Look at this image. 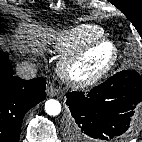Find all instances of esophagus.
<instances>
[{"instance_id":"obj_1","label":"esophagus","mask_w":142,"mask_h":142,"mask_svg":"<svg viewBox=\"0 0 142 142\" xmlns=\"http://www.w3.org/2000/svg\"><path fill=\"white\" fill-rule=\"evenodd\" d=\"M47 95L54 97L57 94V89L53 85H49L46 89Z\"/></svg>"}]
</instances>
